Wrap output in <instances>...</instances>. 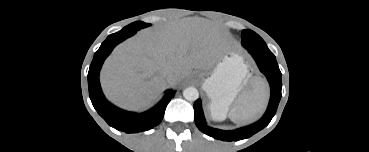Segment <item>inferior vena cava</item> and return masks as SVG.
Masks as SVG:
<instances>
[{"mask_svg": "<svg viewBox=\"0 0 369 152\" xmlns=\"http://www.w3.org/2000/svg\"><path fill=\"white\" fill-rule=\"evenodd\" d=\"M172 79H173V75H172V74H168V75H167V81H168V82H171V81H172Z\"/></svg>", "mask_w": 369, "mask_h": 152, "instance_id": "1", "label": "inferior vena cava"}]
</instances>
